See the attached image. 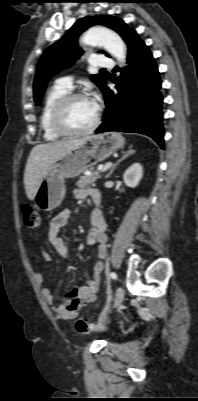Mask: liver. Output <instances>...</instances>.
Returning <instances> with one entry per match:
<instances>
[{
	"instance_id": "1",
	"label": "liver",
	"mask_w": 198,
	"mask_h": 401,
	"mask_svg": "<svg viewBox=\"0 0 198 401\" xmlns=\"http://www.w3.org/2000/svg\"><path fill=\"white\" fill-rule=\"evenodd\" d=\"M88 137L54 141L39 144L32 148L24 171V185L29 200H34L38 188L51 164L72 149L82 145Z\"/></svg>"
}]
</instances>
